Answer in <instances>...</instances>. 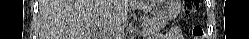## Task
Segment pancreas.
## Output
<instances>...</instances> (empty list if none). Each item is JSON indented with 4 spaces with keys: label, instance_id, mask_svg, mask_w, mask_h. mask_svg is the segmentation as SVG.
Returning <instances> with one entry per match:
<instances>
[{
    "label": "pancreas",
    "instance_id": "1",
    "mask_svg": "<svg viewBox=\"0 0 249 39\" xmlns=\"http://www.w3.org/2000/svg\"><path fill=\"white\" fill-rule=\"evenodd\" d=\"M165 22L155 17H144L142 22V33L146 39L155 36L164 28Z\"/></svg>",
    "mask_w": 249,
    "mask_h": 39
}]
</instances>
